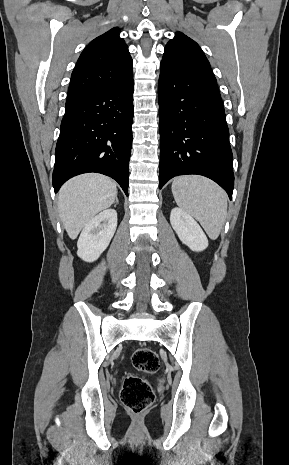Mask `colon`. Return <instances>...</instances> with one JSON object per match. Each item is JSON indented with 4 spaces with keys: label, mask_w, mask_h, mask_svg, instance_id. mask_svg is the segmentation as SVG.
<instances>
[{
    "label": "colon",
    "mask_w": 289,
    "mask_h": 465,
    "mask_svg": "<svg viewBox=\"0 0 289 465\" xmlns=\"http://www.w3.org/2000/svg\"><path fill=\"white\" fill-rule=\"evenodd\" d=\"M132 364L140 372L153 374L158 371L160 361L157 353L149 347H141L132 355ZM121 400L134 414L144 412L154 401L151 385L143 378L129 374L124 378Z\"/></svg>",
    "instance_id": "obj_1"
}]
</instances>
